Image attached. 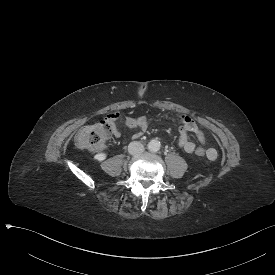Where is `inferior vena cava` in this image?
I'll return each instance as SVG.
<instances>
[{"instance_id": "602c4592", "label": "inferior vena cava", "mask_w": 275, "mask_h": 275, "mask_svg": "<svg viewBox=\"0 0 275 275\" xmlns=\"http://www.w3.org/2000/svg\"><path fill=\"white\" fill-rule=\"evenodd\" d=\"M128 152L133 156H138L144 152V146L138 141H133L128 145Z\"/></svg>"}]
</instances>
